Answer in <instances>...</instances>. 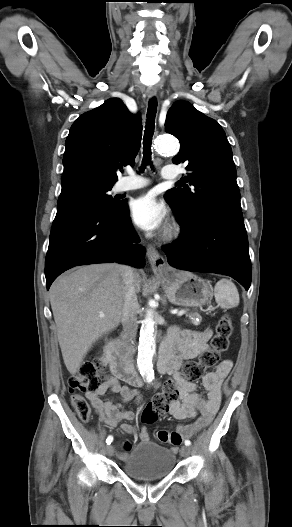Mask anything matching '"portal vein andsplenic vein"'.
Here are the masks:
<instances>
[{
	"instance_id": "portal-vein-and-splenic-vein-1",
	"label": "portal vein and splenic vein",
	"mask_w": 292,
	"mask_h": 527,
	"mask_svg": "<svg viewBox=\"0 0 292 527\" xmlns=\"http://www.w3.org/2000/svg\"><path fill=\"white\" fill-rule=\"evenodd\" d=\"M185 313H186V310H180V311H178L177 315H178V316H182V315H184ZM99 316H100L101 318H104V317H105L104 314H100Z\"/></svg>"
}]
</instances>
